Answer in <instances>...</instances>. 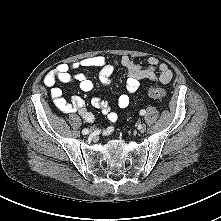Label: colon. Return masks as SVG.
I'll return each instance as SVG.
<instances>
[{"label":"colon","mask_w":221,"mask_h":221,"mask_svg":"<svg viewBox=\"0 0 221 221\" xmlns=\"http://www.w3.org/2000/svg\"><path fill=\"white\" fill-rule=\"evenodd\" d=\"M147 93L150 98L155 99V100H162L166 95L165 90L159 86L149 87L147 90Z\"/></svg>","instance_id":"1"}]
</instances>
